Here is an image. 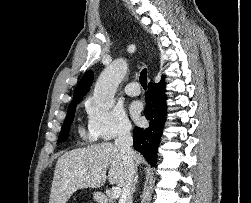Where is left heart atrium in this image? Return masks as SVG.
Listing matches in <instances>:
<instances>
[{
  "instance_id": "39dd6f15",
  "label": "left heart atrium",
  "mask_w": 251,
  "mask_h": 203,
  "mask_svg": "<svg viewBox=\"0 0 251 203\" xmlns=\"http://www.w3.org/2000/svg\"><path fill=\"white\" fill-rule=\"evenodd\" d=\"M141 104L139 102H134L131 106V111L132 114L134 115L135 118L139 117V114L141 112Z\"/></svg>"
}]
</instances>
